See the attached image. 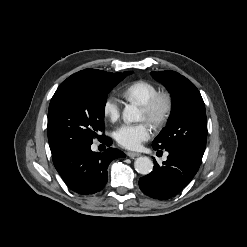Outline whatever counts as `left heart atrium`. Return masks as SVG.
<instances>
[{
  "instance_id": "obj_1",
  "label": "left heart atrium",
  "mask_w": 247,
  "mask_h": 247,
  "mask_svg": "<svg viewBox=\"0 0 247 247\" xmlns=\"http://www.w3.org/2000/svg\"><path fill=\"white\" fill-rule=\"evenodd\" d=\"M151 136L148 123L123 124L115 132V139L119 145L127 149H137Z\"/></svg>"
}]
</instances>
